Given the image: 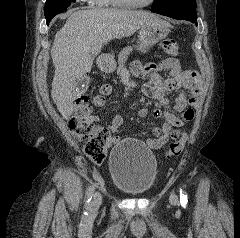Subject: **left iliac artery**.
Segmentation results:
<instances>
[{
  "label": "left iliac artery",
  "instance_id": "44dca946",
  "mask_svg": "<svg viewBox=\"0 0 240 238\" xmlns=\"http://www.w3.org/2000/svg\"><path fill=\"white\" fill-rule=\"evenodd\" d=\"M180 202L183 206L187 204V195L184 191H180Z\"/></svg>",
  "mask_w": 240,
  "mask_h": 238
}]
</instances>
